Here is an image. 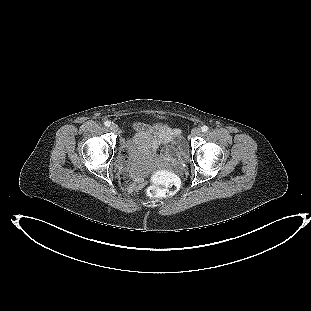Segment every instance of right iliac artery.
<instances>
[{"label":"right iliac artery","instance_id":"1","mask_svg":"<svg viewBox=\"0 0 311 311\" xmlns=\"http://www.w3.org/2000/svg\"><path fill=\"white\" fill-rule=\"evenodd\" d=\"M104 124H105V126L109 127L111 122L109 120H107V121L104 122Z\"/></svg>","mask_w":311,"mask_h":311}]
</instances>
